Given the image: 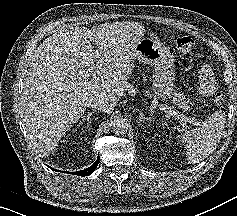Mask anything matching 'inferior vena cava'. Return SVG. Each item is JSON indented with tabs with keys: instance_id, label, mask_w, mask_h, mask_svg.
<instances>
[{
	"instance_id": "602c4592",
	"label": "inferior vena cava",
	"mask_w": 237,
	"mask_h": 216,
	"mask_svg": "<svg viewBox=\"0 0 237 216\" xmlns=\"http://www.w3.org/2000/svg\"><path fill=\"white\" fill-rule=\"evenodd\" d=\"M86 106L101 112L111 113L114 108V103H110L105 94H99L97 97L90 99Z\"/></svg>"
}]
</instances>
